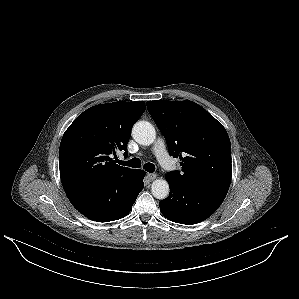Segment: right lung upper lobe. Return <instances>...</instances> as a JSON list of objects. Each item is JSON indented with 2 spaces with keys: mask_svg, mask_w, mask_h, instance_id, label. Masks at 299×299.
<instances>
[{
  "mask_svg": "<svg viewBox=\"0 0 299 299\" xmlns=\"http://www.w3.org/2000/svg\"><path fill=\"white\" fill-rule=\"evenodd\" d=\"M145 103L114 102L81 113L64 133L59 149L62 184L96 180L105 176L133 180L137 170L115 164L116 151H126L133 124Z\"/></svg>",
  "mask_w": 299,
  "mask_h": 299,
  "instance_id": "obj_1",
  "label": "right lung upper lobe"
}]
</instances>
